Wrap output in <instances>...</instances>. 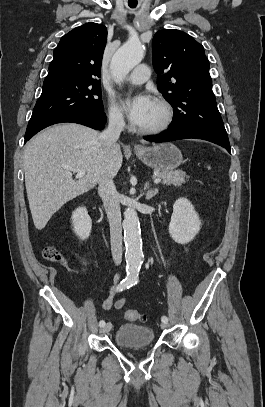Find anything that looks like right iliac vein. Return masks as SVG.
I'll list each match as a JSON object with an SVG mask.
<instances>
[{
	"label": "right iliac vein",
	"instance_id": "right-iliac-vein-1",
	"mask_svg": "<svg viewBox=\"0 0 265 407\" xmlns=\"http://www.w3.org/2000/svg\"><path fill=\"white\" fill-rule=\"evenodd\" d=\"M111 327H112L111 323L108 322L101 328L100 332L107 333L110 331Z\"/></svg>",
	"mask_w": 265,
	"mask_h": 407
}]
</instances>
